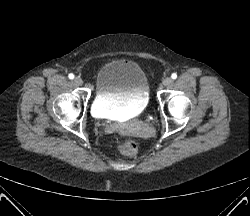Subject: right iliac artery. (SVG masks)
Returning <instances> with one entry per match:
<instances>
[{
    "label": "right iliac artery",
    "instance_id": "1",
    "mask_svg": "<svg viewBox=\"0 0 250 216\" xmlns=\"http://www.w3.org/2000/svg\"><path fill=\"white\" fill-rule=\"evenodd\" d=\"M69 79H74V75L71 73V74H69Z\"/></svg>",
    "mask_w": 250,
    "mask_h": 216
}]
</instances>
